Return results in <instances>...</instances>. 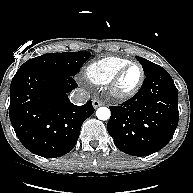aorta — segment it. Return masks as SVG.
<instances>
[{"label": "aorta", "mask_w": 193, "mask_h": 193, "mask_svg": "<svg viewBox=\"0 0 193 193\" xmlns=\"http://www.w3.org/2000/svg\"><path fill=\"white\" fill-rule=\"evenodd\" d=\"M110 110L107 107H100L96 111V116L100 120H108L110 118Z\"/></svg>", "instance_id": "1"}]
</instances>
